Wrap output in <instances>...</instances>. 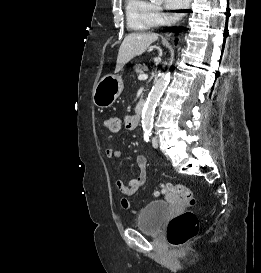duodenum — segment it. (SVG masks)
Masks as SVG:
<instances>
[{
  "mask_svg": "<svg viewBox=\"0 0 261 273\" xmlns=\"http://www.w3.org/2000/svg\"><path fill=\"white\" fill-rule=\"evenodd\" d=\"M143 109H144V102L143 101L138 102V104L136 106V114H135V119H136L137 124L139 122V119H140V116L143 112Z\"/></svg>",
  "mask_w": 261,
  "mask_h": 273,
  "instance_id": "410a0bca",
  "label": "duodenum"
}]
</instances>
